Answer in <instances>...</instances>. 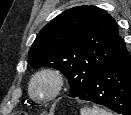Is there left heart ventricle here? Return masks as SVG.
<instances>
[{"instance_id": "obj_1", "label": "left heart ventricle", "mask_w": 131, "mask_h": 115, "mask_svg": "<svg viewBox=\"0 0 131 115\" xmlns=\"http://www.w3.org/2000/svg\"><path fill=\"white\" fill-rule=\"evenodd\" d=\"M53 89V82L48 77L39 78L34 84V92L38 97L46 98Z\"/></svg>"}]
</instances>
